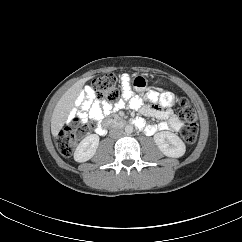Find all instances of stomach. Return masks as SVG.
<instances>
[{"label": "stomach", "instance_id": "obj_1", "mask_svg": "<svg viewBox=\"0 0 242 242\" xmlns=\"http://www.w3.org/2000/svg\"><path fill=\"white\" fill-rule=\"evenodd\" d=\"M148 85V80L143 74H134L132 79L133 89L137 92H143Z\"/></svg>", "mask_w": 242, "mask_h": 242}]
</instances>
